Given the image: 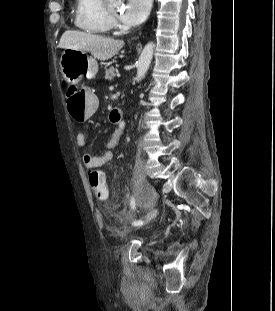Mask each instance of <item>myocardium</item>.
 Here are the masks:
<instances>
[{"label": "myocardium", "mask_w": 275, "mask_h": 311, "mask_svg": "<svg viewBox=\"0 0 275 311\" xmlns=\"http://www.w3.org/2000/svg\"><path fill=\"white\" fill-rule=\"evenodd\" d=\"M106 11H107V14H108V16H109L110 18L114 17L115 14L109 9L108 6H106Z\"/></svg>", "instance_id": "myocardium-1"}]
</instances>
